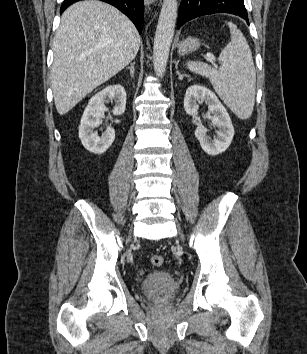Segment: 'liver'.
<instances>
[{"label":"liver","mask_w":307,"mask_h":354,"mask_svg":"<svg viewBox=\"0 0 307 354\" xmlns=\"http://www.w3.org/2000/svg\"><path fill=\"white\" fill-rule=\"evenodd\" d=\"M140 43L134 24L115 7L97 0L68 7L53 42L51 82L57 112L65 115L125 68Z\"/></svg>","instance_id":"6515ba94"}]
</instances>
